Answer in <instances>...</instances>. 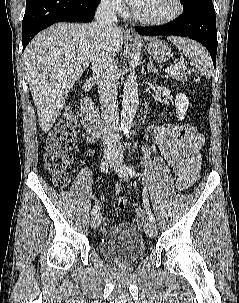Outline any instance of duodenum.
Wrapping results in <instances>:
<instances>
[{
	"label": "duodenum",
	"instance_id": "410a0bca",
	"mask_svg": "<svg viewBox=\"0 0 239 303\" xmlns=\"http://www.w3.org/2000/svg\"><path fill=\"white\" fill-rule=\"evenodd\" d=\"M94 84V79H88L83 85L84 95L81 99V119L84 128L94 136H99L102 132V120L97 110L95 109L92 99L88 92Z\"/></svg>",
	"mask_w": 239,
	"mask_h": 303
}]
</instances>
